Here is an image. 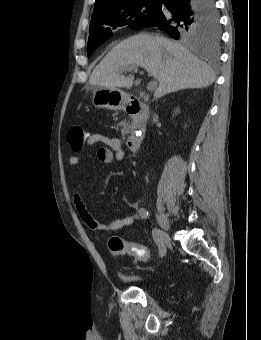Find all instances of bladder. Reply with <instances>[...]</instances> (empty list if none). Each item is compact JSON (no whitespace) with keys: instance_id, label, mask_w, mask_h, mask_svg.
Returning <instances> with one entry per match:
<instances>
[{"instance_id":"31cf9c89","label":"bladder","mask_w":261,"mask_h":340,"mask_svg":"<svg viewBox=\"0 0 261 340\" xmlns=\"http://www.w3.org/2000/svg\"><path fill=\"white\" fill-rule=\"evenodd\" d=\"M121 277L124 279V280H128V281H141L142 278L136 276V275H124L122 274Z\"/></svg>"}]
</instances>
